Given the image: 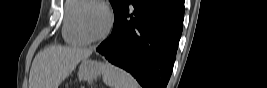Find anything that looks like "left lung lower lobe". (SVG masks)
<instances>
[{
    "label": "left lung lower lobe",
    "mask_w": 267,
    "mask_h": 88,
    "mask_svg": "<svg viewBox=\"0 0 267 88\" xmlns=\"http://www.w3.org/2000/svg\"><path fill=\"white\" fill-rule=\"evenodd\" d=\"M180 0H127L96 49L144 88H166L182 33Z\"/></svg>",
    "instance_id": "obj_1"
}]
</instances>
